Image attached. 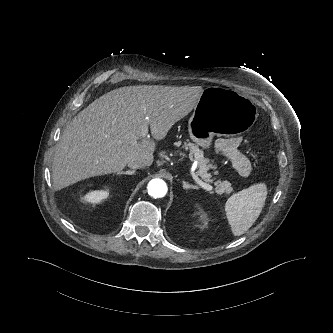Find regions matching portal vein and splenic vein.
Instances as JSON below:
<instances>
[{"label": "portal vein and splenic vein", "instance_id": "portal-vein-and-splenic-vein-1", "mask_svg": "<svg viewBox=\"0 0 333 333\" xmlns=\"http://www.w3.org/2000/svg\"><path fill=\"white\" fill-rule=\"evenodd\" d=\"M148 133V123L145 122V124L143 125L142 129H141V136L145 137ZM194 178L196 180V182L206 191H211L213 189V187L209 184L204 183L203 181H201L196 175H194Z\"/></svg>", "mask_w": 333, "mask_h": 333}]
</instances>
